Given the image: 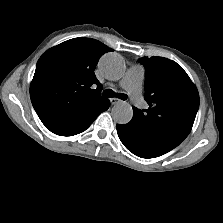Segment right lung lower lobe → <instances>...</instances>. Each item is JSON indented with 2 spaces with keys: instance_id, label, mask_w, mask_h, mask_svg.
Segmentation results:
<instances>
[{
  "instance_id": "right-lung-lower-lobe-1",
  "label": "right lung lower lobe",
  "mask_w": 223,
  "mask_h": 223,
  "mask_svg": "<svg viewBox=\"0 0 223 223\" xmlns=\"http://www.w3.org/2000/svg\"><path fill=\"white\" fill-rule=\"evenodd\" d=\"M109 105H110V101H109V103H108V107H109ZM107 109H108V108H107ZM107 109H106V110H107ZM58 135H61V134H58ZM61 136H63V135H61ZM70 136H72V135H70Z\"/></svg>"
}]
</instances>
